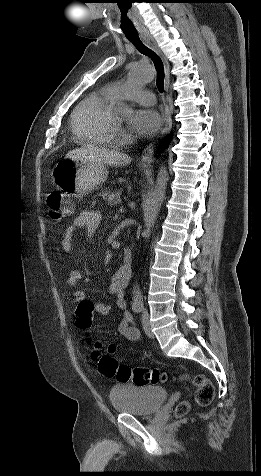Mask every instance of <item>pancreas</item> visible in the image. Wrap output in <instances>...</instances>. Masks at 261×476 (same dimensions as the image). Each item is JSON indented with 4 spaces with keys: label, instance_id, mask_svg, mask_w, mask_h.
<instances>
[{
    "label": "pancreas",
    "instance_id": "1",
    "mask_svg": "<svg viewBox=\"0 0 261 476\" xmlns=\"http://www.w3.org/2000/svg\"><path fill=\"white\" fill-rule=\"evenodd\" d=\"M101 196L109 206H114L121 203V191L102 192Z\"/></svg>",
    "mask_w": 261,
    "mask_h": 476
}]
</instances>
